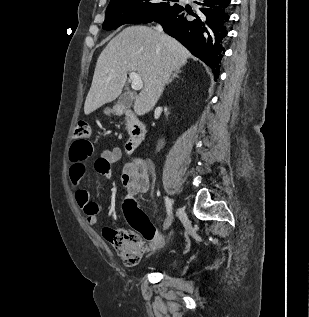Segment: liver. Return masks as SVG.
<instances>
[{
  "label": "liver",
  "mask_w": 309,
  "mask_h": 317,
  "mask_svg": "<svg viewBox=\"0 0 309 317\" xmlns=\"http://www.w3.org/2000/svg\"><path fill=\"white\" fill-rule=\"evenodd\" d=\"M191 53L174 38L147 26H131L114 37L100 54L84 105L89 115L122 92L128 72L140 75L143 88L135 98L137 115L148 113L159 100L173 71Z\"/></svg>",
  "instance_id": "liver-1"
}]
</instances>
